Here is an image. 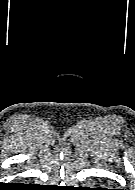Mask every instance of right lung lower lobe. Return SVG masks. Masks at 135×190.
<instances>
[{"label":"right lung lower lobe","mask_w":135,"mask_h":190,"mask_svg":"<svg viewBox=\"0 0 135 190\" xmlns=\"http://www.w3.org/2000/svg\"><path fill=\"white\" fill-rule=\"evenodd\" d=\"M35 186V185H34ZM23 189H29V190H34V189H36L35 187H33V186H30V187H23Z\"/></svg>","instance_id":"98d812e1"}]
</instances>
